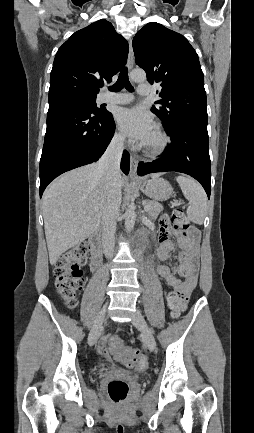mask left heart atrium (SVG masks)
<instances>
[{"label":"left heart atrium","mask_w":254,"mask_h":433,"mask_svg":"<svg viewBox=\"0 0 254 433\" xmlns=\"http://www.w3.org/2000/svg\"><path fill=\"white\" fill-rule=\"evenodd\" d=\"M116 117L122 131L136 141L145 143L154 132L152 117L142 108L121 109Z\"/></svg>","instance_id":"obj_1"}]
</instances>
